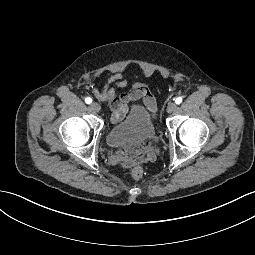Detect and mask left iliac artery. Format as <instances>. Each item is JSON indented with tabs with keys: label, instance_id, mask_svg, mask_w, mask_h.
<instances>
[{
	"label": "left iliac artery",
	"instance_id": "obj_1",
	"mask_svg": "<svg viewBox=\"0 0 255 255\" xmlns=\"http://www.w3.org/2000/svg\"><path fill=\"white\" fill-rule=\"evenodd\" d=\"M176 104H180L182 102V98L181 97H178L176 100H175Z\"/></svg>",
	"mask_w": 255,
	"mask_h": 255
}]
</instances>
